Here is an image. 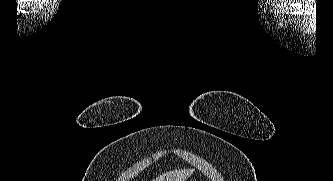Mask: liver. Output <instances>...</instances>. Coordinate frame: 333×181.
I'll return each mask as SVG.
<instances>
[{"label": "liver", "mask_w": 333, "mask_h": 181, "mask_svg": "<svg viewBox=\"0 0 333 181\" xmlns=\"http://www.w3.org/2000/svg\"><path fill=\"white\" fill-rule=\"evenodd\" d=\"M193 173V170H172L162 175L158 176L157 178L153 179L152 181H186Z\"/></svg>", "instance_id": "obj_1"}]
</instances>
